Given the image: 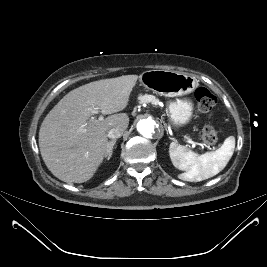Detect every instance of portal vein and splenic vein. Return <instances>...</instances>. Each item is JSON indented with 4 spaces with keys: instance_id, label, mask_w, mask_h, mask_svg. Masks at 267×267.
Masks as SVG:
<instances>
[{
    "instance_id": "1",
    "label": "portal vein and splenic vein",
    "mask_w": 267,
    "mask_h": 267,
    "mask_svg": "<svg viewBox=\"0 0 267 267\" xmlns=\"http://www.w3.org/2000/svg\"><path fill=\"white\" fill-rule=\"evenodd\" d=\"M89 111L92 113V114H96L99 112V108H89ZM93 118V117H92ZM99 120L102 121L103 120V117L100 116L99 117ZM189 143L192 145V148H195L196 144L195 142L189 140Z\"/></svg>"
}]
</instances>
